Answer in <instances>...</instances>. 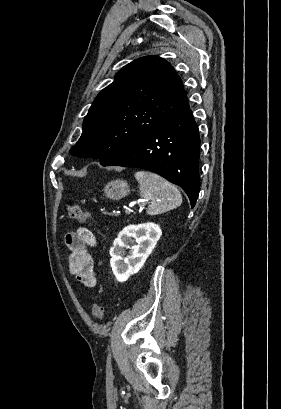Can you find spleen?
<instances>
[{
	"instance_id": "obj_1",
	"label": "spleen",
	"mask_w": 281,
	"mask_h": 409,
	"mask_svg": "<svg viewBox=\"0 0 281 409\" xmlns=\"http://www.w3.org/2000/svg\"><path fill=\"white\" fill-rule=\"evenodd\" d=\"M135 178L140 184L141 196L151 200L147 209L148 215H161L180 207L182 196L175 184L148 170H138L135 172Z\"/></svg>"
}]
</instances>
